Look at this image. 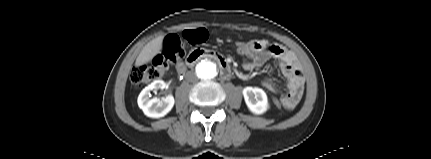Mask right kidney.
Returning <instances> with one entry per match:
<instances>
[{
	"label": "right kidney",
	"mask_w": 431,
	"mask_h": 159,
	"mask_svg": "<svg viewBox=\"0 0 431 159\" xmlns=\"http://www.w3.org/2000/svg\"><path fill=\"white\" fill-rule=\"evenodd\" d=\"M165 88V83L162 80H155L147 87H145L138 96V106L144 114L151 118H160L165 116L171 111L174 106L175 100L172 95L165 98H150L151 91L156 92L159 89Z\"/></svg>",
	"instance_id": "right-kidney-1"
}]
</instances>
